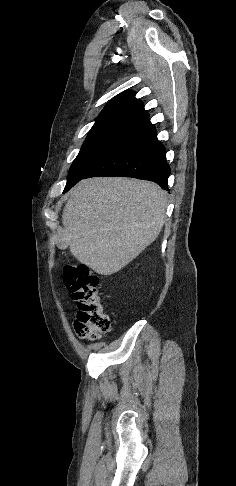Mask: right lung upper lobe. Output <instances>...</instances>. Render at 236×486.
<instances>
[{
    "label": "right lung upper lobe",
    "instance_id": "right-lung-upper-lobe-1",
    "mask_svg": "<svg viewBox=\"0 0 236 486\" xmlns=\"http://www.w3.org/2000/svg\"><path fill=\"white\" fill-rule=\"evenodd\" d=\"M148 118L149 114L135 98V93L125 91L107 103L91 130L119 125L141 126Z\"/></svg>",
    "mask_w": 236,
    "mask_h": 486
}]
</instances>
